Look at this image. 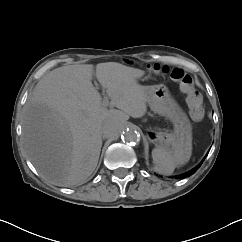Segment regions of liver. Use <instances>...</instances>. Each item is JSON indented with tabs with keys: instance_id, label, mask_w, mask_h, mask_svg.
<instances>
[{
	"instance_id": "obj_1",
	"label": "liver",
	"mask_w": 242,
	"mask_h": 242,
	"mask_svg": "<svg viewBox=\"0 0 242 242\" xmlns=\"http://www.w3.org/2000/svg\"><path fill=\"white\" fill-rule=\"evenodd\" d=\"M145 71L117 62L56 68L35 86L24 108V148L38 173L57 186L85 183L95 170L100 127L114 118L120 131L147 112ZM96 76L117 109H107L91 80ZM119 131V132H120Z\"/></svg>"
}]
</instances>
